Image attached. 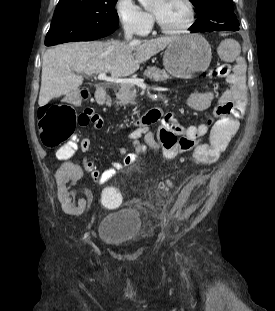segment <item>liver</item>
Listing matches in <instances>:
<instances>
[{"instance_id": "liver-1", "label": "liver", "mask_w": 275, "mask_h": 311, "mask_svg": "<svg viewBox=\"0 0 275 311\" xmlns=\"http://www.w3.org/2000/svg\"><path fill=\"white\" fill-rule=\"evenodd\" d=\"M176 37L150 40L86 41L48 49L43 56L39 106L77 90L86 75L110 73L124 77L135 73L143 63L164 50Z\"/></svg>"}]
</instances>
